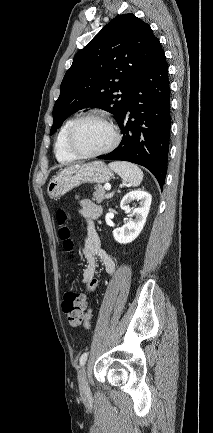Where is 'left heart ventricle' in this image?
I'll list each match as a JSON object with an SVG mask.
<instances>
[{"label":"left heart ventricle","mask_w":213,"mask_h":433,"mask_svg":"<svg viewBox=\"0 0 213 433\" xmlns=\"http://www.w3.org/2000/svg\"><path fill=\"white\" fill-rule=\"evenodd\" d=\"M112 139V132L105 123L97 119H89L77 129L75 145L83 153H94L105 149Z\"/></svg>","instance_id":"b2bd125f"}]
</instances>
